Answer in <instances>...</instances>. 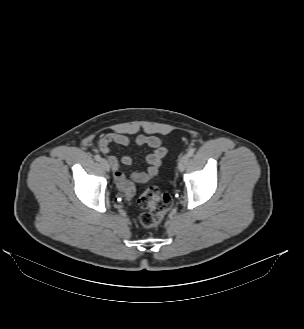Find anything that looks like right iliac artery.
Masks as SVG:
<instances>
[{"instance_id":"82829eb1","label":"right iliac artery","mask_w":304,"mask_h":329,"mask_svg":"<svg viewBox=\"0 0 304 329\" xmlns=\"http://www.w3.org/2000/svg\"><path fill=\"white\" fill-rule=\"evenodd\" d=\"M94 158H95L96 161H100V160H101V157H100V155H98V154H96V155L94 156Z\"/></svg>"}]
</instances>
